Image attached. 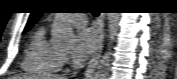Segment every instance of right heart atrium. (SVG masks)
<instances>
[{
  "instance_id": "1",
  "label": "right heart atrium",
  "mask_w": 177,
  "mask_h": 79,
  "mask_svg": "<svg viewBox=\"0 0 177 79\" xmlns=\"http://www.w3.org/2000/svg\"><path fill=\"white\" fill-rule=\"evenodd\" d=\"M62 60H63V63H67L68 62V57L63 54Z\"/></svg>"
}]
</instances>
